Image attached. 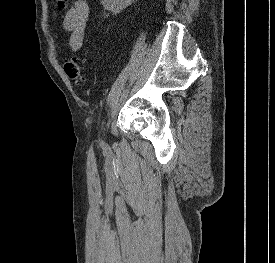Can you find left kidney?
Listing matches in <instances>:
<instances>
[{"mask_svg":"<svg viewBox=\"0 0 275 263\" xmlns=\"http://www.w3.org/2000/svg\"><path fill=\"white\" fill-rule=\"evenodd\" d=\"M133 0H102L104 8L114 14L119 13L131 4Z\"/></svg>","mask_w":275,"mask_h":263,"instance_id":"5707ae66","label":"left kidney"}]
</instances>
